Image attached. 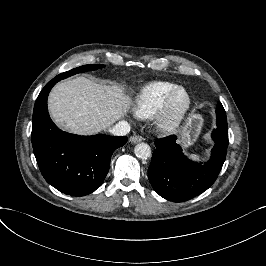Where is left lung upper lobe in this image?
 Segmentation results:
<instances>
[{
	"mask_svg": "<svg viewBox=\"0 0 266 266\" xmlns=\"http://www.w3.org/2000/svg\"><path fill=\"white\" fill-rule=\"evenodd\" d=\"M216 115H217V121L220 119V118H224L226 119V113H225V110L222 106V104L219 102L218 105H217V110H216Z\"/></svg>",
	"mask_w": 266,
	"mask_h": 266,
	"instance_id": "left-lung-upper-lobe-1",
	"label": "left lung upper lobe"
}]
</instances>
